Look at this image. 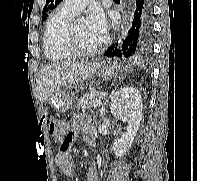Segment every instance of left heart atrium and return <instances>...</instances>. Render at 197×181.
Masks as SVG:
<instances>
[{
  "instance_id": "39dd6f15",
  "label": "left heart atrium",
  "mask_w": 197,
  "mask_h": 181,
  "mask_svg": "<svg viewBox=\"0 0 197 181\" xmlns=\"http://www.w3.org/2000/svg\"><path fill=\"white\" fill-rule=\"evenodd\" d=\"M87 25L101 40L105 37L108 23L104 12L100 8L95 7L91 9Z\"/></svg>"
}]
</instances>
